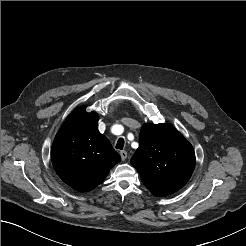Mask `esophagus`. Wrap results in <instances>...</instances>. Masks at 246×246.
I'll return each mask as SVG.
<instances>
[{"label": "esophagus", "instance_id": "obj_1", "mask_svg": "<svg viewBox=\"0 0 246 246\" xmlns=\"http://www.w3.org/2000/svg\"><path fill=\"white\" fill-rule=\"evenodd\" d=\"M120 156H121V159L124 161V160H126L128 154L125 150H122V151H120Z\"/></svg>", "mask_w": 246, "mask_h": 246}]
</instances>
